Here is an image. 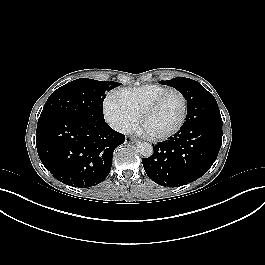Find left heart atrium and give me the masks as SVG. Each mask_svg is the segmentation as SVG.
<instances>
[{
    "mask_svg": "<svg viewBox=\"0 0 265 265\" xmlns=\"http://www.w3.org/2000/svg\"><path fill=\"white\" fill-rule=\"evenodd\" d=\"M139 132H143L144 135H147L148 134V132L144 128L140 129Z\"/></svg>",
    "mask_w": 265,
    "mask_h": 265,
    "instance_id": "1",
    "label": "left heart atrium"
}]
</instances>
